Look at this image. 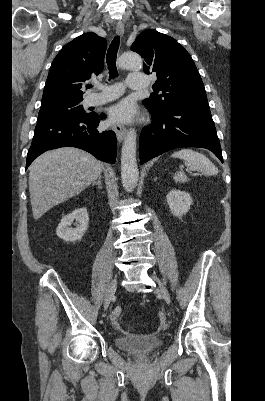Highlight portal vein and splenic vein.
Segmentation results:
<instances>
[{
    "mask_svg": "<svg viewBox=\"0 0 265 401\" xmlns=\"http://www.w3.org/2000/svg\"><path fill=\"white\" fill-rule=\"evenodd\" d=\"M192 175H193V176H199V175H200V172H199V171H193V172H192Z\"/></svg>",
    "mask_w": 265,
    "mask_h": 401,
    "instance_id": "portal-vein-and-splenic-vein-1",
    "label": "portal vein and splenic vein"
}]
</instances>
